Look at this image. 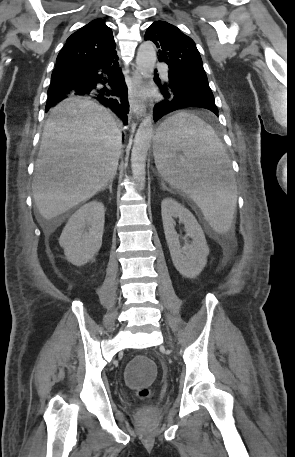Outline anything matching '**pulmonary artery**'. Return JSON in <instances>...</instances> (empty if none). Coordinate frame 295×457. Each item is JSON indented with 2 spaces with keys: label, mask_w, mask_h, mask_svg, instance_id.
Masks as SVG:
<instances>
[{
  "label": "pulmonary artery",
  "mask_w": 295,
  "mask_h": 457,
  "mask_svg": "<svg viewBox=\"0 0 295 457\" xmlns=\"http://www.w3.org/2000/svg\"><path fill=\"white\" fill-rule=\"evenodd\" d=\"M158 67L164 78H168L167 67L164 64H158Z\"/></svg>",
  "instance_id": "1"
}]
</instances>
